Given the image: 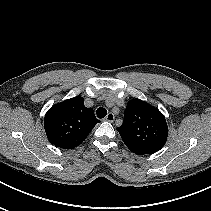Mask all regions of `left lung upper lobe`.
Wrapping results in <instances>:
<instances>
[{
	"label": "left lung upper lobe",
	"instance_id": "obj_1",
	"mask_svg": "<svg viewBox=\"0 0 211 211\" xmlns=\"http://www.w3.org/2000/svg\"><path fill=\"white\" fill-rule=\"evenodd\" d=\"M123 142L135 154H152L166 143L168 126L163 114L140 99L128 102L124 121L117 128Z\"/></svg>",
	"mask_w": 211,
	"mask_h": 211
}]
</instances>
